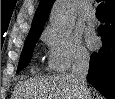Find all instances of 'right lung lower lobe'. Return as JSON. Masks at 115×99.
<instances>
[{
  "instance_id": "obj_1",
  "label": "right lung lower lobe",
  "mask_w": 115,
  "mask_h": 99,
  "mask_svg": "<svg viewBox=\"0 0 115 99\" xmlns=\"http://www.w3.org/2000/svg\"><path fill=\"white\" fill-rule=\"evenodd\" d=\"M104 16L105 24L98 29L102 47L91 55L87 80L105 98L115 99V7Z\"/></svg>"
}]
</instances>
